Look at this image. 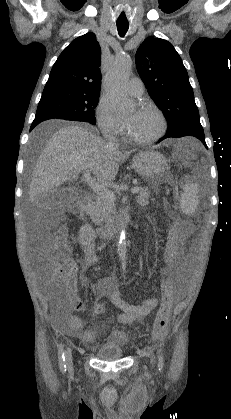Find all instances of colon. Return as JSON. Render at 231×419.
I'll return each instance as SVG.
<instances>
[{"label":"colon","instance_id":"obj_1","mask_svg":"<svg viewBox=\"0 0 231 419\" xmlns=\"http://www.w3.org/2000/svg\"><path fill=\"white\" fill-rule=\"evenodd\" d=\"M66 237V228L60 227L46 248L45 258L51 279L70 288L75 285V267L70 260L71 250L66 241ZM179 245L180 242L176 239V232L172 230L170 239L164 250L165 260L167 262H172L177 258ZM165 279L162 290L159 293L160 298L163 299V303L158 310L154 323L153 337L156 340L163 339L167 334V321L171 312L172 299L180 290L179 284L170 278L169 275H166ZM95 311L97 314H103L105 311L104 306H98ZM115 334L120 340L126 338L125 334L121 331H116Z\"/></svg>","mask_w":231,"mask_h":419}]
</instances>
